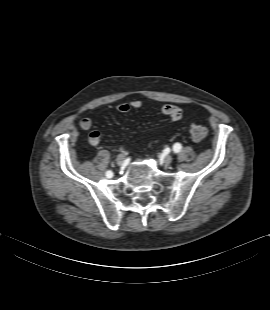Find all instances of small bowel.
I'll return each instance as SVG.
<instances>
[{
    "label": "small bowel",
    "mask_w": 270,
    "mask_h": 310,
    "mask_svg": "<svg viewBox=\"0 0 270 310\" xmlns=\"http://www.w3.org/2000/svg\"><path fill=\"white\" fill-rule=\"evenodd\" d=\"M142 107V102L140 100H132L128 103H120L116 106V110L120 113H127L131 109H140ZM160 112L169 117L173 121H177L182 117V110L172 104H166L161 107ZM92 120L85 117L80 120L79 125L83 130H89L92 127ZM102 139L101 132L94 130L89 134V142L92 146H97Z\"/></svg>",
    "instance_id": "small-bowel-1"
}]
</instances>
